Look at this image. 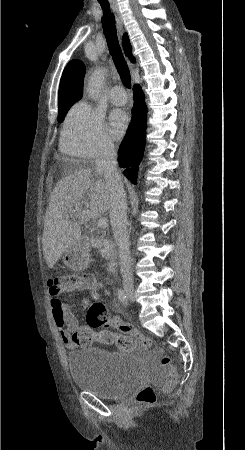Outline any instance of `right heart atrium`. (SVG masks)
Instances as JSON below:
<instances>
[{
  "mask_svg": "<svg viewBox=\"0 0 245 450\" xmlns=\"http://www.w3.org/2000/svg\"><path fill=\"white\" fill-rule=\"evenodd\" d=\"M61 149L72 157L87 160L111 152L114 142L102 114L87 102L75 104L65 117Z\"/></svg>",
  "mask_w": 245,
  "mask_h": 450,
  "instance_id": "1",
  "label": "right heart atrium"
}]
</instances>
